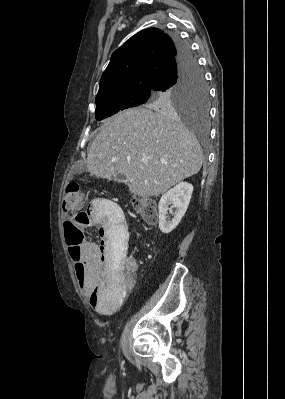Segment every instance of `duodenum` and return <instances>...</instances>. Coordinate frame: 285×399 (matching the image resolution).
I'll list each match as a JSON object with an SVG mask.
<instances>
[{"mask_svg":"<svg viewBox=\"0 0 285 399\" xmlns=\"http://www.w3.org/2000/svg\"><path fill=\"white\" fill-rule=\"evenodd\" d=\"M108 217H109L108 213H105L103 218L106 220L108 219Z\"/></svg>","mask_w":285,"mask_h":399,"instance_id":"1","label":"duodenum"}]
</instances>
